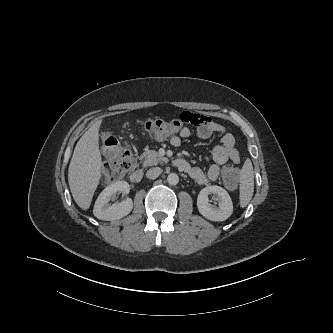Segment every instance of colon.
Masks as SVG:
<instances>
[{
    "instance_id": "obj_1",
    "label": "colon",
    "mask_w": 333,
    "mask_h": 333,
    "mask_svg": "<svg viewBox=\"0 0 333 333\" xmlns=\"http://www.w3.org/2000/svg\"><path fill=\"white\" fill-rule=\"evenodd\" d=\"M182 123L186 122L182 120L150 119L144 123V128L153 138L164 139L175 136L180 131ZM102 150L107 159L104 176L108 182L119 180L132 168L131 152L114 135L110 133L102 135ZM223 180L227 187L234 188L239 180L238 169L232 165L225 166Z\"/></svg>"
}]
</instances>
